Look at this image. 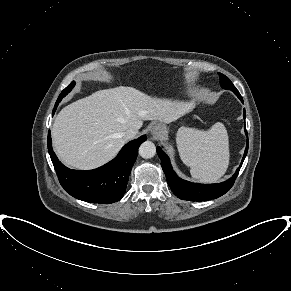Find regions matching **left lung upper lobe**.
Masks as SVG:
<instances>
[{"label": "left lung upper lobe", "instance_id": "1", "mask_svg": "<svg viewBox=\"0 0 291 291\" xmlns=\"http://www.w3.org/2000/svg\"><path fill=\"white\" fill-rule=\"evenodd\" d=\"M220 77L221 87L226 90H232L236 95L240 94L233 83L223 74L218 73Z\"/></svg>", "mask_w": 291, "mask_h": 291}]
</instances>
